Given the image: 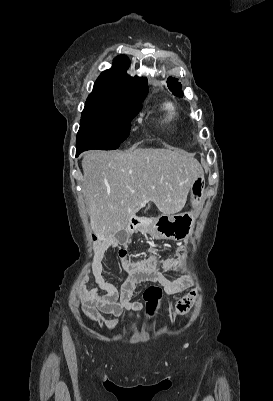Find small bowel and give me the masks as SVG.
I'll use <instances>...</instances> for the list:
<instances>
[{
    "mask_svg": "<svg viewBox=\"0 0 273 401\" xmlns=\"http://www.w3.org/2000/svg\"><path fill=\"white\" fill-rule=\"evenodd\" d=\"M115 247H117L115 241L103 242L97 247L91 267L94 286L85 291V303H82L83 311L91 321L111 331L117 328L121 320L137 321L140 319L144 304L131 300L137 284L143 282L159 283L167 293H175L183 290L190 283L188 277L169 280L158 268L161 265L164 272L180 271L184 258L182 248H178L174 256H154L140 261L128 260L127 251L119 249L117 256L122 268L129 276L118 289L116 285L104 278L102 264L106 250ZM197 295V290H191L184 298L179 300L172 318L187 314ZM102 314H111L115 318L106 319ZM163 324L164 320L158 322V325Z\"/></svg>",
    "mask_w": 273,
    "mask_h": 401,
    "instance_id": "c3829d8e",
    "label": "small bowel"
}]
</instances>
